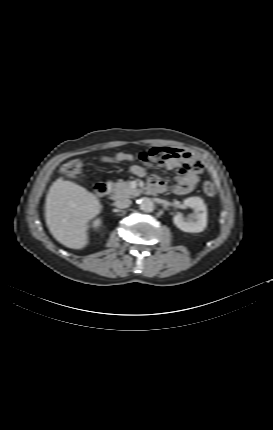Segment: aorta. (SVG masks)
I'll list each match as a JSON object with an SVG mask.
<instances>
[{"label":"aorta","mask_w":273,"mask_h":430,"mask_svg":"<svg viewBox=\"0 0 273 430\" xmlns=\"http://www.w3.org/2000/svg\"><path fill=\"white\" fill-rule=\"evenodd\" d=\"M139 207L144 212H152L154 210V203L150 198L142 197L139 199Z\"/></svg>","instance_id":"1"}]
</instances>
